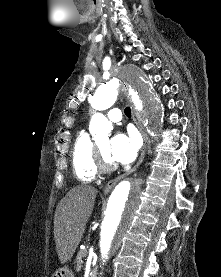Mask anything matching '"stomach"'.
I'll return each instance as SVG.
<instances>
[{
  "label": "stomach",
  "instance_id": "stomach-1",
  "mask_svg": "<svg viewBox=\"0 0 221 277\" xmlns=\"http://www.w3.org/2000/svg\"><path fill=\"white\" fill-rule=\"evenodd\" d=\"M52 277H74V273L68 267H63L57 270Z\"/></svg>",
  "mask_w": 221,
  "mask_h": 277
}]
</instances>
